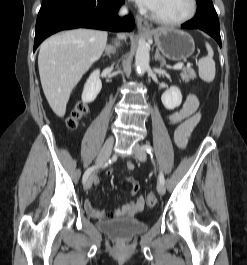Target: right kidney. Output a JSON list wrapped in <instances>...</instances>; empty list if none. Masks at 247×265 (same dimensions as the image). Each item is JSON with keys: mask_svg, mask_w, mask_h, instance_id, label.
Instances as JSON below:
<instances>
[{"mask_svg": "<svg viewBox=\"0 0 247 265\" xmlns=\"http://www.w3.org/2000/svg\"><path fill=\"white\" fill-rule=\"evenodd\" d=\"M100 71L97 69L91 73L89 78L87 79L83 93H82V101L90 103L94 101L99 94L101 88H102V83L99 78Z\"/></svg>", "mask_w": 247, "mask_h": 265, "instance_id": "1", "label": "right kidney"}]
</instances>
